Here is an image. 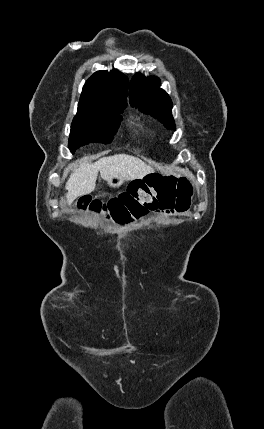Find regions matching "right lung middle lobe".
Listing matches in <instances>:
<instances>
[{
  "mask_svg": "<svg viewBox=\"0 0 264 429\" xmlns=\"http://www.w3.org/2000/svg\"><path fill=\"white\" fill-rule=\"evenodd\" d=\"M126 105L79 103L69 137L72 153L91 142L110 143L121 120L120 113Z\"/></svg>",
  "mask_w": 264,
  "mask_h": 429,
  "instance_id": "obj_1",
  "label": "right lung middle lobe"
}]
</instances>
